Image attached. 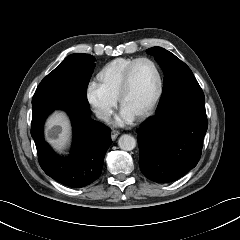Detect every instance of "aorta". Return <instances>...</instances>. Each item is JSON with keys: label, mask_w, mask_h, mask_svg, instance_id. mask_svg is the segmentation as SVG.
I'll return each mask as SVG.
<instances>
[{"label": "aorta", "mask_w": 240, "mask_h": 240, "mask_svg": "<svg viewBox=\"0 0 240 240\" xmlns=\"http://www.w3.org/2000/svg\"><path fill=\"white\" fill-rule=\"evenodd\" d=\"M118 145L122 150L131 151L136 146V140L133 136L124 134L119 138Z\"/></svg>", "instance_id": "aorta-1"}]
</instances>
